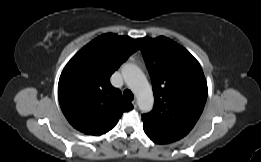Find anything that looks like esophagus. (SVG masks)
I'll list each match as a JSON object with an SVG mask.
<instances>
[{"mask_svg": "<svg viewBox=\"0 0 261 162\" xmlns=\"http://www.w3.org/2000/svg\"><path fill=\"white\" fill-rule=\"evenodd\" d=\"M132 104H133L134 108H137L138 104H137V101H136V100H133V101H132Z\"/></svg>", "mask_w": 261, "mask_h": 162, "instance_id": "esophagus-1", "label": "esophagus"}]
</instances>
